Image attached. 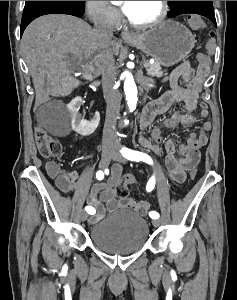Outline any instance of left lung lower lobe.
Segmentation results:
<instances>
[{
	"mask_svg": "<svg viewBox=\"0 0 237 300\" xmlns=\"http://www.w3.org/2000/svg\"><path fill=\"white\" fill-rule=\"evenodd\" d=\"M200 15L207 17L208 19H210L216 25V19H215L214 12L205 11V12H201Z\"/></svg>",
	"mask_w": 237,
	"mask_h": 300,
	"instance_id": "0a47b994",
	"label": "left lung lower lobe"
}]
</instances>
